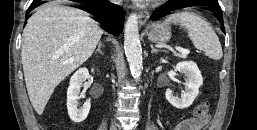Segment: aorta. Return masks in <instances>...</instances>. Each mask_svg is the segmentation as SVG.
Listing matches in <instances>:
<instances>
[{
	"mask_svg": "<svg viewBox=\"0 0 257 130\" xmlns=\"http://www.w3.org/2000/svg\"><path fill=\"white\" fill-rule=\"evenodd\" d=\"M124 50L131 73L136 81L142 71V50L139 40L138 17L132 13L124 26Z\"/></svg>",
	"mask_w": 257,
	"mask_h": 130,
	"instance_id": "762f6f07",
	"label": "aorta"
}]
</instances>
